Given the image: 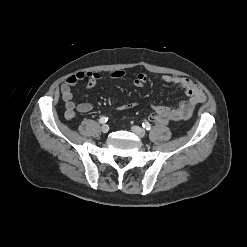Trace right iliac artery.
Listing matches in <instances>:
<instances>
[{
  "mask_svg": "<svg viewBox=\"0 0 247 247\" xmlns=\"http://www.w3.org/2000/svg\"><path fill=\"white\" fill-rule=\"evenodd\" d=\"M107 120H108V118H107L106 116H102V117L100 118L99 122H100L101 124H104V123L107 122Z\"/></svg>",
  "mask_w": 247,
  "mask_h": 247,
  "instance_id": "1",
  "label": "right iliac artery"
}]
</instances>
